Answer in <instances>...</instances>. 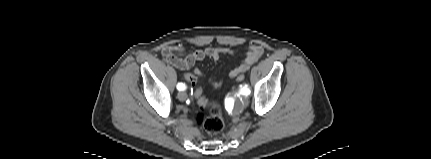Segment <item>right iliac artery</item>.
I'll return each instance as SVG.
<instances>
[{"mask_svg": "<svg viewBox=\"0 0 431 159\" xmlns=\"http://www.w3.org/2000/svg\"><path fill=\"white\" fill-rule=\"evenodd\" d=\"M177 89H178L179 91H183V90H185V89H186V86H185V84H183V83H178V84H177Z\"/></svg>", "mask_w": 431, "mask_h": 159, "instance_id": "right-iliac-artery-1", "label": "right iliac artery"}]
</instances>
